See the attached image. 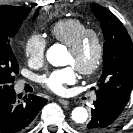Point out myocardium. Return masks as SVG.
<instances>
[{
  "label": "myocardium",
  "instance_id": "1",
  "mask_svg": "<svg viewBox=\"0 0 133 133\" xmlns=\"http://www.w3.org/2000/svg\"><path fill=\"white\" fill-rule=\"evenodd\" d=\"M92 38L95 42L96 53L93 62L84 67H76L79 73L82 75H92L96 73L101 67L104 60V40L100 31L95 28H86L84 31L80 33V35L76 38V40L68 46V50L71 53L78 54L81 52L86 42Z\"/></svg>",
  "mask_w": 133,
  "mask_h": 133
}]
</instances>
